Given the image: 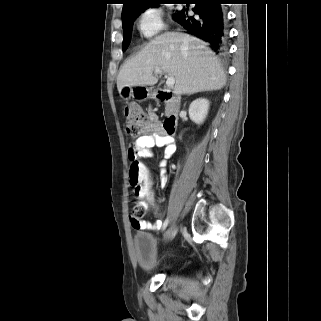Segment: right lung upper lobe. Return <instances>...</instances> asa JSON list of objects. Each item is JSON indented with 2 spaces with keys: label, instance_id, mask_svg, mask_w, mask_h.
Masks as SVG:
<instances>
[{
  "label": "right lung upper lobe",
  "instance_id": "1",
  "mask_svg": "<svg viewBox=\"0 0 321 321\" xmlns=\"http://www.w3.org/2000/svg\"><path fill=\"white\" fill-rule=\"evenodd\" d=\"M166 0H123L122 16L141 11L152 4H158Z\"/></svg>",
  "mask_w": 321,
  "mask_h": 321
}]
</instances>
